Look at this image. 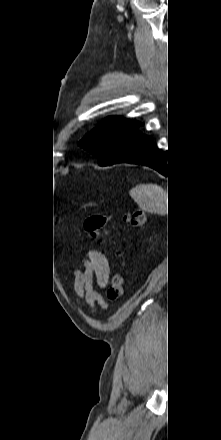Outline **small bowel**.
<instances>
[{
    "label": "small bowel",
    "mask_w": 221,
    "mask_h": 440,
    "mask_svg": "<svg viewBox=\"0 0 221 440\" xmlns=\"http://www.w3.org/2000/svg\"><path fill=\"white\" fill-rule=\"evenodd\" d=\"M85 270H75L74 290L80 300L87 303L91 311L96 306L106 308L105 301L93 288L94 282L100 287H106L109 280L110 268L106 257L98 251H91L85 263Z\"/></svg>",
    "instance_id": "c3829d8e"
}]
</instances>
